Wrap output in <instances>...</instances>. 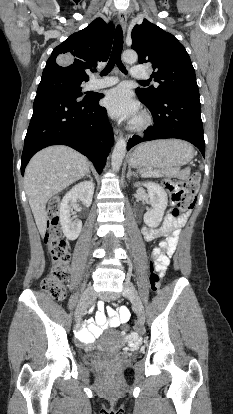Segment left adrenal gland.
Wrapping results in <instances>:
<instances>
[{"label":"left adrenal gland","mask_w":233,"mask_h":414,"mask_svg":"<svg viewBox=\"0 0 233 414\" xmlns=\"http://www.w3.org/2000/svg\"><path fill=\"white\" fill-rule=\"evenodd\" d=\"M131 176L136 177V173L131 171V167H128V172H127V179H130Z\"/></svg>","instance_id":"a2214340"}]
</instances>
